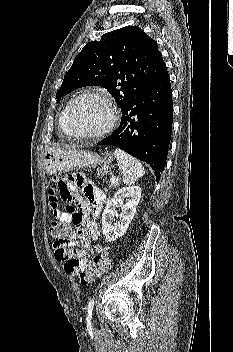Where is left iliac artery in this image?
Masks as SVG:
<instances>
[{"mask_svg":"<svg viewBox=\"0 0 233 352\" xmlns=\"http://www.w3.org/2000/svg\"><path fill=\"white\" fill-rule=\"evenodd\" d=\"M93 307H94V298H91L88 302V305H87V320H89V321L92 318Z\"/></svg>","mask_w":233,"mask_h":352,"instance_id":"44dca946","label":"left iliac artery"}]
</instances>
